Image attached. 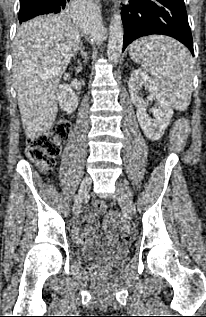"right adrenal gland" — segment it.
I'll list each match as a JSON object with an SVG mask.
<instances>
[{
    "mask_svg": "<svg viewBox=\"0 0 206 317\" xmlns=\"http://www.w3.org/2000/svg\"><path fill=\"white\" fill-rule=\"evenodd\" d=\"M78 50L81 53V56L84 58V61L86 62L87 60V53L84 51V48L82 47V43L80 44Z\"/></svg>",
    "mask_w": 206,
    "mask_h": 317,
    "instance_id": "1",
    "label": "right adrenal gland"
}]
</instances>
